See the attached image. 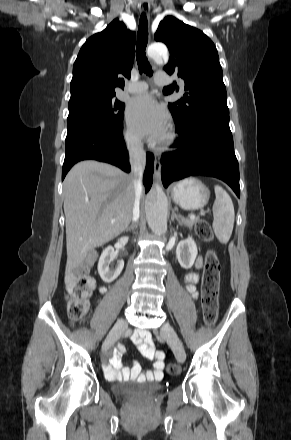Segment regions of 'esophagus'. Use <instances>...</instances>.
<instances>
[{"label":"esophagus","instance_id":"esophagus-1","mask_svg":"<svg viewBox=\"0 0 291 440\" xmlns=\"http://www.w3.org/2000/svg\"><path fill=\"white\" fill-rule=\"evenodd\" d=\"M139 10L142 13L148 15V13L150 11L149 1L140 2ZM160 171H161L160 157L156 156L154 159V176L156 179H158L160 177Z\"/></svg>","mask_w":291,"mask_h":440}]
</instances>
